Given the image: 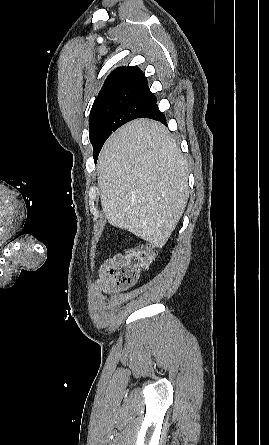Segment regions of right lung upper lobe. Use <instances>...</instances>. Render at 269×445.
Instances as JSON below:
<instances>
[{
  "label": "right lung upper lobe",
  "mask_w": 269,
  "mask_h": 445,
  "mask_svg": "<svg viewBox=\"0 0 269 445\" xmlns=\"http://www.w3.org/2000/svg\"><path fill=\"white\" fill-rule=\"evenodd\" d=\"M131 88H148L144 73L137 66L119 67L107 77L96 99L112 91Z\"/></svg>",
  "instance_id": "obj_1"
}]
</instances>
